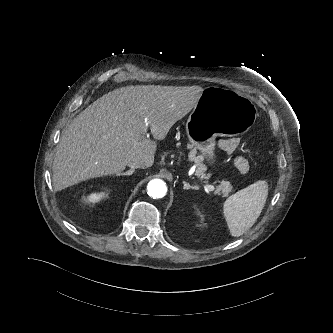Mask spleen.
I'll list each match as a JSON object with an SVG mask.
<instances>
[{
  "instance_id": "1",
  "label": "spleen",
  "mask_w": 333,
  "mask_h": 333,
  "mask_svg": "<svg viewBox=\"0 0 333 333\" xmlns=\"http://www.w3.org/2000/svg\"><path fill=\"white\" fill-rule=\"evenodd\" d=\"M267 195L268 184L260 180L225 201L223 213L232 236L239 237L254 225L264 208Z\"/></svg>"
}]
</instances>
